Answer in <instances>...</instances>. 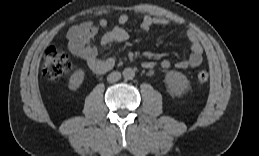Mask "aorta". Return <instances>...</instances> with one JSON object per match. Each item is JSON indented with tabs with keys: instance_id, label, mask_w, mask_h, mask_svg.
<instances>
[{
	"instance_id": "aorta-1",
	"label": "aorta",
	"mask_w": 259,
	"mask_h": 156,
	"mask_svg": "<svg viewBox=\"0 0 259 156\" xmlns=\"http://www.w3.org/2000/svg\"><path fill=\"white\" fill-rule=\"evenodd\" d=\"M122 74L125 80H132L135 76V71L132 68H125Z\"/></svg>"
}]
</instances>
